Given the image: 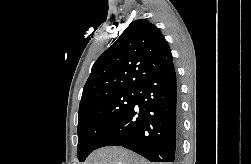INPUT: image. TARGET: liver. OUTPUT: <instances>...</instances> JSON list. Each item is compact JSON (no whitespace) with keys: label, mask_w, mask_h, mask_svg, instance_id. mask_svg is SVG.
<instances>
[{"label":"liver","mask_w":251,"mask_h":164,"mask_svg":"<svg viewBox=\"0 0 251 164\" xmlns=\"http://www.w3.org/2000/svg\"><path fill=\"white\" fill-rule=\"evenodd\" d=\"M84 164H150L123 147L109 146L92 152Z\"/></svg>","instance_id":"6515ba94"}]
</instances>
